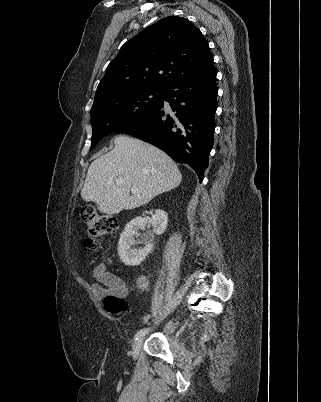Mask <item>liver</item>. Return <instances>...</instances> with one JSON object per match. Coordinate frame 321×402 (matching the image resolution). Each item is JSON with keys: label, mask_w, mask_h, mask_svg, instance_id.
Here are the masks:
<instances>
[{"label": "liver", "mask_w": 321, "mask_h": 402, "mask_svg": "<svg viewBox=\"0 0 321 402\" xmlns=\"http://www.w3.org/2000/svg\"><path fill=\"white\" fill-rule=\"evenodd\" d=\"M114 143L112 151L90 164L81 190V197L95 202L100 212L114 215L138 208L181 183L177 165L157 147L127 135L116 136ZM119 178L124 185L116 184Z\"/></svg>", "instance_id": "obj_1"}]
</instances>
